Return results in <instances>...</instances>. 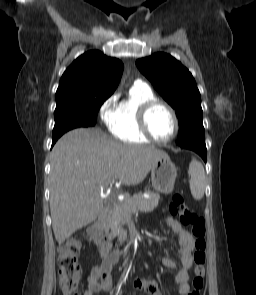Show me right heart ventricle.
Here are the masks:
<instances>
[{
    "mask_svg": "<svg viewBox=\"0 0 256 295\" xmlns=\"http://www.w3.org/2000/svg\"><path fill=\"white\" fill-rule=\"evenodd\" d=\"M156 99L154 92L146 85H134L129 97L121 101L110 113L107 126L112 135L128 144H147L150 140L142 133L138 123L140 107Z\"/></svg>",
    "mask_w": 256,
    "mask_h": 295,
    "instance_id": "obj_1",
    "label": "right heart ventricle"
}]
</instances>
